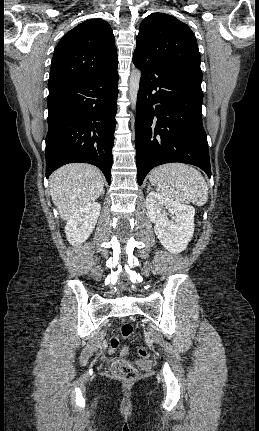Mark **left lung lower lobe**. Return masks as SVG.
I'll list each match as a JSON object with an SVG mask.
<instances>
[{"mask_svg":"<svg viewBox=\"0 0 259 431\" xmlns=\"http://www.w3.org/2000/svg\"><path fill=\"white\" fill-rule=\"evenodd\" d=\"M133 62L141 70L135 121L138 184L152 168L170 162L196 165L210 177L201 81L138 53Z\"/></svg>","mask_w":259,"mask_h":431,"instance_id":"1","label":"left lung lower lobe"}]
</instances>
